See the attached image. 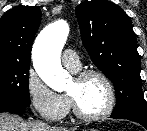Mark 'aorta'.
Wrapping results in <instances>:
<instances>
[{
	"label": "aorta",
	"mask_w": 147,
	"mask_h": 131,
	"mask_svg": "<svg viewBox=\"0 0 147 131\" xmlns=\"http://www.w3.org/2000/svg\"><path fill=\"white\" fill-rule=\"evenodd\" d=\"M68 33L67 22L58 20L40 32L32 50L33 65L37 74L51 89L59 92L63 91L70 81V75L60 61Z\"/></svg>",
	"instance_id": "obj_1"
}]
</instances>
